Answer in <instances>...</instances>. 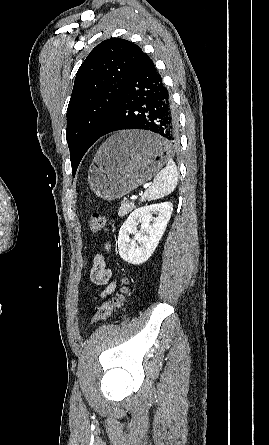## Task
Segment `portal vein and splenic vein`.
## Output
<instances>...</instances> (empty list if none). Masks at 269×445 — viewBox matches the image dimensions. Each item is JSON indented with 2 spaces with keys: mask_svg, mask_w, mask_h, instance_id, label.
Returning a JSON list of instances; mask_svg holds the SVG:
<instances>
[{
  "mask_svg": "<svg viewBox=\"0 0 269 445\" xmlns=\"http://www.w3.org/2000/svg\"><path fill=\"white\" fill-rule=\"evenodd\" d=\"M148 186H149V184H145V185H144V188H147ZM137 197H138L137 195H133V196L131 197V199H137Z\"/></svg>",
  "mask_w": 269,
  "mask_h": 445,
  "instance_id": "portal-vein-and-splenic-vein-1",
  "label": "portal vein and splenic vein"
}]
</instances>
